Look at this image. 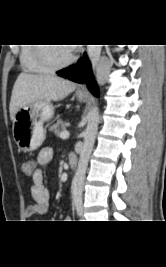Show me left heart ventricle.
I'll list each match as a JSON object with an SVG mask.
<instances>
[{
    "instance_id": "1",
    "label": "left heart ventricle",
    "mask_w": 166,
    "mask_h": 267,
    "mask_svg": "<svg viewBox=\"0 0 166 267\" xmlns=\"http://www.w3.org/2000/svg\"><path fill=\"white\" fill-rule=\"evenodd\" d=\"M47 50L51 58L59 63L67 61L72 54V50L67 46H48Z\"/></svg>"
}]
</instances>
